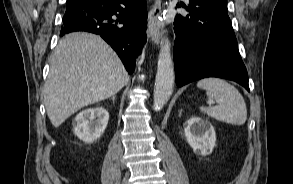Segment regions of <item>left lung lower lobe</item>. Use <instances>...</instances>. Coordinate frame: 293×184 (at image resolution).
<instances>
[{
    "mask_svg": "<svg viewBox=\"0 0 293 184\" xmlns=\"http://www.w3.org/2000/svg\"><path fill=\"white\" fill-rule=\"evenodd\" d=\"M185 8L189 14H178L174 20L176 84L181 87L201 78L220 77L249 91L247 70L238 51L227 4L189 0V7Z\"/></svg>",
    "mask_w": 293,
    "mask_h": 184,
    "instance_id": "obj_1",
    "label": "left lung lower lobe"
}]
</instances>
